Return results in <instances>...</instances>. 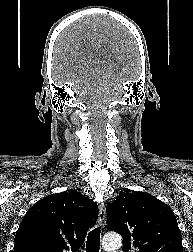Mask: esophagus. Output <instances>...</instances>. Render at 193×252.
Listing matches in <instances>:
<instances>
[{
	"mask_svg": "<svg viewBox=\"0 0 193 252\" xmlns=\"http://www.w3.org/2000/svg\"><path fill=\"white\" fill-rule=\"evenodd\" d=\"M99 225L104 228L106 224V206L104 203L99 205V217H98Z\"/></svg>",
	"mask_w": 193,
	"mask_h": 252,
	"instance_id": "obj_1",
	"label": "esophagus"
}]
</instances>
